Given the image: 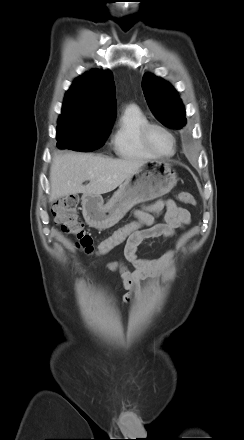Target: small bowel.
I'll return each mask as SVG.
<instances>
[{
  "label": "small bowel",
  "mask_w": 244,
  "mask_h": 440,
  "mask_svg": "<svg viewBox=\"0 0 244 440\" xmlns=\"http://www.w3.org/2000/svg\"><path fill=\"white\" fill-rule=\"evenodd\" d=\"M156 213H162L161 220L151 219L144 229L134 233L126 240L124 255L133 264L135 271H128L120 263L116 267L110 268L120 273L123 286L127 290L124 295L126 302H131L138 295L141 280L161 274L174 256V252L170 250L158 259H141L137 256L138 246L145 239L172 237L177 229L183 228L191 220L189 211L173 200L156 201L135 211V217L150 219V216Z\"/></svg>",
  "instance_id": "obj_1"
}]
</instances>
